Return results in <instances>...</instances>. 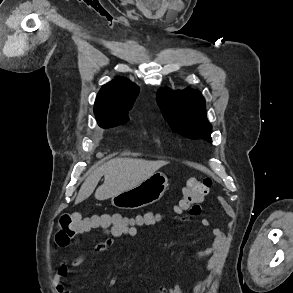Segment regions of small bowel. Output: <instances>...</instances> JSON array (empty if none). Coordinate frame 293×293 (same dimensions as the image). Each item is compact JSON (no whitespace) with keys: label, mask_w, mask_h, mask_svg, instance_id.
<instances>
[{"label":"small bowel","mask_w":293,"mask_h":293,"mask_svg":"<svg viewBox=\"0 0 293 293\" xmlns=\"http://www.w3.org/2000/svg\"><path fill=\"white\" fill-rule=\"evenodd\" d=\"M200 210V205L193 210H191L189 213L192 215H195L199 213ZM177 212V211H176ZM180 213V212H177ZM179 218H182L179 216ZM160 221V216L155 215L153 213H146L142 216H138L135 219V225H133L130 229L121 231V232H116L112 231L106 236L103 240L100 242L96 243L94 245V251L96 253H105L108 252L112 249L114 245V238L117 237H122V236H136L140 232V227L142 226H152L156 224L157 222ZM202 225L205 227H210L212 236H213V241L212 244L206 248L198 249L195 251V256L198 258H205L208 257L212 254H215L223 248L224 240H225V235L223 231L218 228L214 227L212 225V222L209 219H203L201 221ZM88 232V231H86ZM85 262V257L84 256H79L72 260L70 263V266H68L66 263H62L58 266L54 276H53V282L55 284V287L57 289L58 293H71L69 288L66 287L62 281L67 278V274L70 271V268H76L81 266ZM116 282L115 278H112L110 281V285H114ZM206 284V280L194 285L189 291H186L181 285L175 284L169 288H163L159 293H195L202 289Z\"/></svg>","instance_id":"obj_1"}]
</instances>
